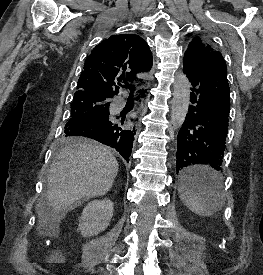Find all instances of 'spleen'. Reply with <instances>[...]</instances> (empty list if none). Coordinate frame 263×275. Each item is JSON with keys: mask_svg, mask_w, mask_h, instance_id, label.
<instances>
[{"mask_svg": "<svg viewBox=\"0 0 263 275\" xmlns=\"http://www.w3.org/2000/svg\"><path fill=\"white\" fill-rule=\"evenodd\" d=\"M216 176L217 182L215 188L211 192H206L203 189L190 184H185L179 189L181 201L195 214L200 216L207 215L209 200L204 197V193L208 194L211 197L210 200L216 205H221L223 200V177L220 173H217Z\"/></svg>", "mask_w": 263, "mask_h": 275, "instance_id": "spleen-1", "label": "spleen"}]
</instances>
